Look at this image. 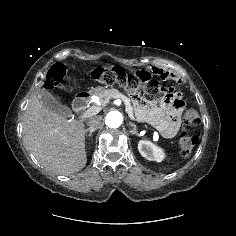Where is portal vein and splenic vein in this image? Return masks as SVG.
I'll list each match as a JSON object with an SVG mask.
<instances>
[{
  "label": "portal vein and splenic vein",
  "mask_w": 236,
  "mask_h": 236,
  "mask_svg": "<svg viewBox=\"0 0 236 236\" xmlns=\"http://www.w3.org/2000/svg\"><path fill=\"white\" fill-rule=\"evenodd\" d=\"M124 104H125L126 112L128 113L129 117L132 120H135L133 112L131 111V107H130L129 102L128 101H124ZM101 109L102 108L100 106H91L90 108H88L86 111H84L81 114V118H88V117L94 116V115L98 114L101 111Z\"/></svg>",
  "instance_id": "1"
}]
</instances>
